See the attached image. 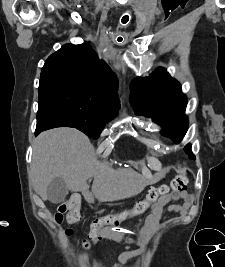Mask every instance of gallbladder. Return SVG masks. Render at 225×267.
I'll use <instances>...</instances> for the list:
<instances>
[{"mask_svg": "<svg viewBox=\"0 0 225 267\" xmlns=\"http://www.w3.org/2000/svg\"><path fill=\"white\" fill-rule=\"evenodd\" d=\"M68 187L64 179L54 178L47 187L48 200L52 203L62 202L68 194Z\"/></svg>", "mask_w": 225, "mask_h": 267, "instance_id": "bac80fb5", "label": "gallbladder"}]
</instances>
